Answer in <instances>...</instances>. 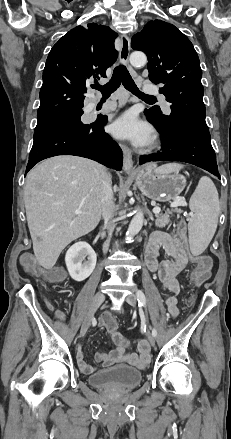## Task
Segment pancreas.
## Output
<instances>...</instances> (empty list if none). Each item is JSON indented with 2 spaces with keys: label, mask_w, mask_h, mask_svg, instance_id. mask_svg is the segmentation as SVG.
Instances as JSON below:
<instances>
[{
  "label": "pancreas",
  "mask_w": 231,
  "mask_h": 439,
  "mask_svg": "<svg viewBox=\"0 0 231 439\" xmlns=\"http://www.w3.org/2000/svg\"><path fill=\"white\" fill-rule=\"evenodd\" d=\"M176 212H180L179 210H176ZM170 214L171 212L165 213V214H156V220L155 225L158 228H163L170 222Z\"/></svg>",
  "instance_id": "cf45deb5"
}]
</instances>
